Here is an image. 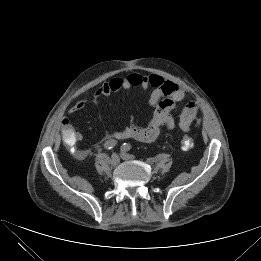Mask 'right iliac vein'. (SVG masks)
<instances>
[{"mask_svg":"<svg viewBox=\"0 0 261 261\" xmlns=\"http://www.w3.org/2000/svg\"><path fill=\"white\" fill-rule=\"evenodd\" d=\"M120 162V157L118 154L114 153L111 155L109 163L111 166H117Z\"/></svg>","mask_w":261,"mask_h":261,"instance_id":"obj_1","label":"right iliac vein"}]
</instances>
